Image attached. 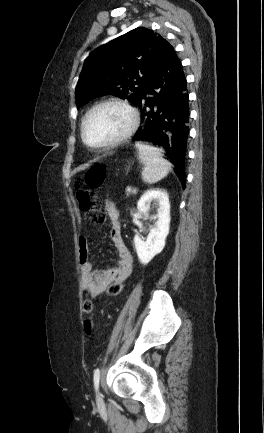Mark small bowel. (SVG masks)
Instances as JSON below:
<instances>
[{"instance_id":"small-bowel-1","label":"small bowel","mask_w":264,"mask_h":433,"mask_svg":"<svg viewBox=\"0 0 264 433\" xmlns=\"http://www.w3.org/2000/svg\"><path fill=\"white\" fill-rule=\"evenodd\" d=\"M105 211L112 226L110 238L117 251V265L102 271L95 269L89 260L88 239L84 236L79 238V262L82 288L92 298L104 293L106 288L114 282L123 283L131 275L133 267L132 255L122 237L121 218L116 205L112 201L106 200ZM84 327L87 335H91L93 322H89L85 318Z\"/></svg>"}]
</instances>
